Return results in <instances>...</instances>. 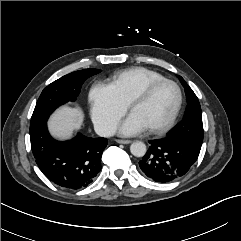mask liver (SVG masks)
Returning <instances> with one entry per match:
<instances>
[{"instance_id": "6515ba94", "label": "liver", "mask_w": 241, "mask_h": 241, "mask_svg": "<svg viewBox=\"0 0 241 241\" xmlns=\"http://www.w3.org/2000/svg\"><path fill=\"white\" fill-rule=\"evenodd\" d=\"M83 117V112L80 108L63 106L50 118L48 122L49 130L54 137L67 139L71 137L74 130L81 127Z\"/></svg>"}]
</instances>
